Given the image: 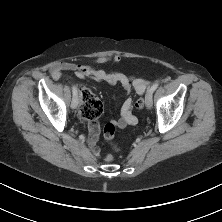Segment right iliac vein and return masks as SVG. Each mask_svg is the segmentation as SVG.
<instances>
[{"label":"right iliac vein","mask_w":222,"mask_h":222,"mask_svg":"<svg viewBox=\"0 0 222 222\" xmlns=\"http://www.w3.org/2000/svg\"><path fill=\"white\" fill-rule=\"evenodd\" d=\"M77 106H78V97H77V96H74V97H73V100H72V102H71V108H72V109H76Z\"/></svg>","instance_id":"right-iliac-vein-1"}]
</instances>
